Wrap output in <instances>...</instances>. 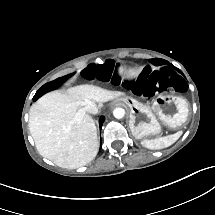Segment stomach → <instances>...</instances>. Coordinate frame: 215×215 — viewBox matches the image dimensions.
<instances>
[{"instance_id": "obj_1", "label": "stomach", "mask_w": 215, "mask_h": 215, "mask_svg": "<svg viewBox=\"0 0 215 215\" xmlns=\"http://www.w3.org/2000/svg\"><path fill=\"white\" fill-rule=\"evenodd\" d=\"M117 101L129 109V127L137 139L157 137L163 129L180 135L189 116L188 103L181 96L160 95L151 106L125 95Z\"/></svg>"}]
</instances>
